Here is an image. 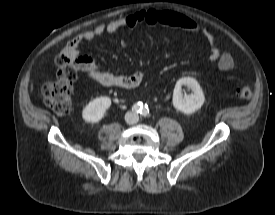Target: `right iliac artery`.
<instances>
[{
  "label": "right iliac artery",
  "mask_w": 275,
  "mask_h": 215,
  "mask_svg": "<svg viewBox=\"0 0 275 215\" xmlns=\"http://www.w3.org/2000/svg\"><path fill=\"white\" fill-rule=\"evenodd\" d=\"M142 107L143 106H142L141 103H136V104L133 105L132 110L136 113H139V112H141Z\"/></svg>",
  "instance_id": "1"
}]
</instances>
